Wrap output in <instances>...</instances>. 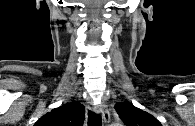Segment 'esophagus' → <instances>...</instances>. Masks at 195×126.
Instances as JSON below:
<instances>
[{
    "mask_svg": "<svg viewBox=\"0 0 195 126\" xmlns=\"http://www.w3.org/2000/svg\"><path fill=\"white\" fill-rule=\"evenodd\" d=\"M93 110L96 113L101 114L103 122L105 124H108L110 122V113L105 105H103V104L94 105Z\"/></svg>",
    "mask_w": 195,
    "mask_h": 126,
    "instance_id": "1",
    "label": "esophagus"
}]
</instances>
